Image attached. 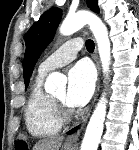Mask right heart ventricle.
I'll list each match as a JSON object with an SVG mask.
<instances>
[{
	"label": "right heart ventricle",
	"instance_id": "right-heart-ventricle-1",
	"mask_svg": "<svg viewBox=\"0 0 139 150\" xmlns=\"http://www.w3.org/2000/svg\"><path fill=\"white\" fill-rule=\"evenodd\" d=\"M44 76L38 75L31 87L25 108V123L33 136L42 137L57 133L62 126L51 96L42 87Z\"/></svg>",
	"mask_w": 139,
	"mask_h": 150
}]
</instances>
